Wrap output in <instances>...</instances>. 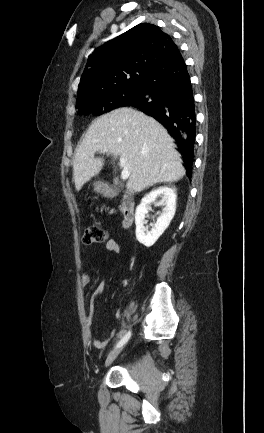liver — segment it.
Wrapping results in <instances>:
<instances>
[{
  "mask_svg": "<svg viewBox=\"0 0 264 433\" xmlns=\"http://www.w3.org/2000/svg\"><path fill=\"white\" fill-rule=\"evenodd\" d=\"M102 149L127 158L130 176L126 187L131 192L178 181L185 175L180 154L162 125L142 112L122 107L95 119L77 148L73 162L77 191L102 170L103 160L94 158Z\"/></svg>",
  "mask_w": 264,
  "mask_h": 433,
  "instance_id": "obj_1",
  "label": "liver"
}]
</instances>
